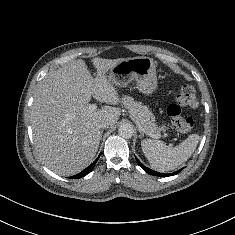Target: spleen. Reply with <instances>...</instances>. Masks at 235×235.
<instances>
[{
	"instance_id": "3e777b00",
	"label": "spleen",
	"mask_w": 235,
	"mask_h": 235,
	"mask_svg": "<svg viewBox=\"0 0 235 235\" xmlns=\"http://www.w3.org/2000/svg\"><path fill=\"white\" fill-rule=\"evenodd\" d=\"M199 140L198 134H191L179 145L169 149L163 141L147 139L141 141V147L153 169L167 172L186 162L195 151Z\"/></svg>"
}]
</instances>
